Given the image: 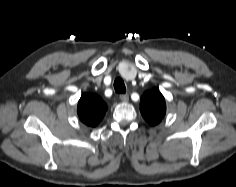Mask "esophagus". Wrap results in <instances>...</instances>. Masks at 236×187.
Listing matches in <instances>:
<instances>
[{
	"label": "esophagus",
	"mask_w": 236,
	"mask_h": 187,
	"mask_svg": "<svg viewBox=\"0 0 236 187\" xmlns=\"http://www.w3.org/2000/svg\"><path fill=\"white\" fill-rule=\"evenodd\" d=\"M120 100L122 101V102H128L129 101V96L127 95V94H121L120 95Z\"/></svg>",
	"instance_id": "1"
}]
</instances>
